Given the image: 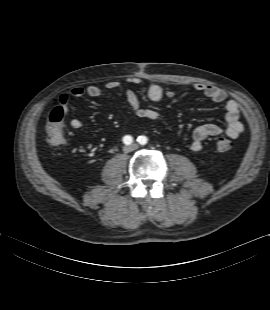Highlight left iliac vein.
Wrapping results in <instances>:
<instances>
[{
	"instance_id": "left-iliac-vein-1",
	"label": "left iliac vein",
	"mask_w": 270,
	"mask_h": 310,
	"mask_svg": "<svg viewBox=\"0 0 270 310\" xmlns=\"http://www.w3.org/2000/svg\"><path fill=\"white\" fill-rule=\"evenodd\" d=\"M131 147H132L133 149H136V148H137V145H136V144H133Z\"/></svg>"
}]
</instances>
